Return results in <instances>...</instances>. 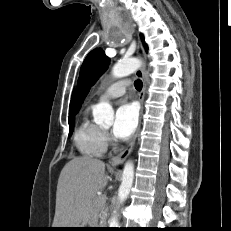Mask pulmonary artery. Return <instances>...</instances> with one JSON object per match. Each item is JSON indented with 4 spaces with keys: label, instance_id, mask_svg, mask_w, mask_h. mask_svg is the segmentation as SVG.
I'll return each instance as SVG.
<instances>
[{
    "label": "pulmonary artery",
    "instance_id": "obj_1",
    "mask_svg": "<svg viewBox=\"0 0 231 231\" xmlns=\"http://www.w3.org/2000/svg\"><path fill=\"white\" fill-rule=\"evenodd\" d=\"M130 81L127 79L118 80L110 84L103 92L105 98H116L120 97L126 92L127 86H129Z\"/></svg>",
    "mask_w": 231,
    "mask_h": 231
}]
</instances>
